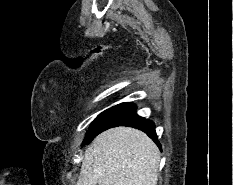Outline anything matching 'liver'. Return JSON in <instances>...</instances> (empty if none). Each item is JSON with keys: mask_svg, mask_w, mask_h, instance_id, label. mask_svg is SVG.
<instances>
[{"mask_svg": "<svg viewBox=\"0 0 233 185\" xmlns=\"http://www.w3.org/2000/svg\"><path fill=\"white\" fill-rule=\"evenodd\" d=\"M160 152L142 131L116 127L86 149L76 185H156Z\"/></svg>", "mask_w": 233, "mask_h": 185, "instance_id": "1", "label": "liver"}]
</instances>
